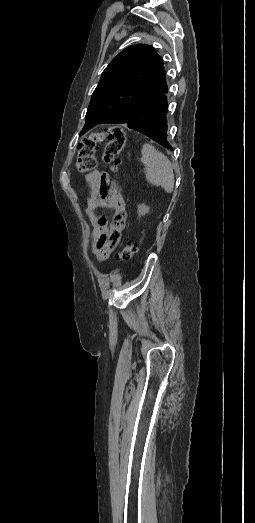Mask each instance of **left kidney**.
I'll return each instance as SVG.
<instances>
[{"label":"left kidney","instance_id":"5707ae66","mask_svg":"<svg viewBox=\"0 0 255 523\" xmlns=\"http://www.w3.org/2000/svg\"><path fill=\"white\" fill-rule=\"evenodd\" d=\"M149 208L148 206H145V204H141V206H138V216H145V214H148Z\"/></svg>","mask_w":255,"mask_h":523}]
</instances>
